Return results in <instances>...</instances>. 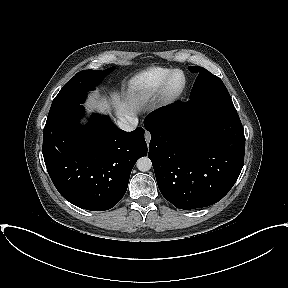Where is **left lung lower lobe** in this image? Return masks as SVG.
I'll list each match as a JSON object with an SVG mask.
<instances>
[{"instance_id":"left-lung-lower-lobe-1","label":"left lung lower lobe","mask_w":288,"mask_h":288,"mask_svg":"<svg viewBox=\"0 0 288 288\" xmlns=\"http://www.w3.org/2000/svg\"><path fill=\"white\" fill-rule=\"evenodd\" d=\"M144 126L159 190L177 208L212 205L235 184L245 152L237 111L177 101L150 113Z\"/></svg>"}]
</instances>
